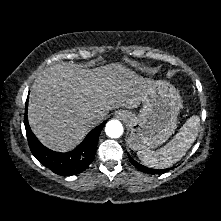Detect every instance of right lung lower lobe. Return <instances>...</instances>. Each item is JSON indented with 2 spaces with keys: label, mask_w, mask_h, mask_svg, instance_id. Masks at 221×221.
<instances>
[{
  "label": "right lung lower lobe",
  "mask_w": 221,
  "mask_h": 221,
  "mask_svg": "<svg viewBox=\"0 0 221 221\" xmlns=\"http://www.w3.org/2000/svg\"><path fill=\"white\" fill-rule=\"evenodd\" d=\"M27 105L28 101L26 102L24 124L28 144L34 157L52 172L61 176H71L83 172L94 159L99 135L106 122L90 131L83 142L73 151L59 153L43 146L32 133L27 118Z\"/></svg>",
  "instance_id": "right-lung-lower-lobe-1"
}]
</instances>
